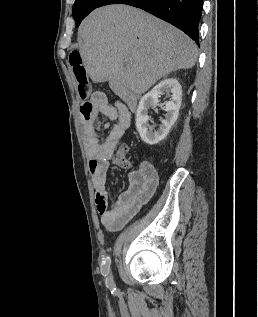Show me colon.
<instances>
[{"label": "colon", "mask_w": 258, "mask_h": 317, "mask_svg": "<svg viewBox=\"0 0 258 317\" xmlns=\"http://www.w3.org/2000/svg\"><path fill=\"white\" fill-rule=\"evenodd\" d=\"M69 63L77 81L79 97L83 100V102H87L91 92V83L84 67L81 54L78 50H72L70 52ZM83 128L87 135H92L94 128L92 127V122L89 120V118L85 119ZM128 152L129 146L127 144H120L116 149L114 162L122 167L129 166L130 162L127 157Z\"/></svg>", "instance_id": "colon-1"}]
</instances>
